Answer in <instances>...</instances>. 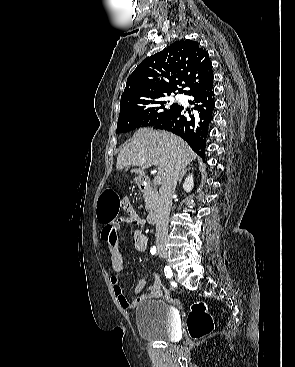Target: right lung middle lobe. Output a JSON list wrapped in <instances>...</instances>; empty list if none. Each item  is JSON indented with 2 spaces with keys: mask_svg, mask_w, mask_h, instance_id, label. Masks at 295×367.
<instances>
[{
  "mask_svg": "<svg viewBox=\"0 0 295 367\" xmlns=\"http://www.w3.org/2000/svg\"><path fill=\"white\" fill-rule=\"evenodd\" d=\"M165 97L166 95H162L150 100L128 103L119 113L116 132L123 133L139 127L153 126L180 107L175 103L170 104Z\"/></svg>",
  "mask_w": 295,
  "mask_h": 367,
  "instance_id": "dd1d6c3e",
  "label": "right lung middle lobe"
}]
</instances>
